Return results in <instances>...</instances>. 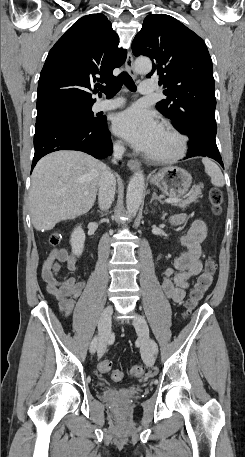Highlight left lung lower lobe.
Listing matches in <instances>:
<instances>
[{
    "label": "left lung lower lobe",
    "instance_id": "obj_1",
    "mask_svg": "<svg viewBox=\"0 0 245 457\" xmlns=\"http://www.w3.org/2000/svg\"><path fill=\"white\" fill-rule=\"evenodd\" d=\"M174 127L182 134L188 135L190 139V153L186 158L205 156L215 159L224 167L215 140L217 126L214 113H195L184 119L183 123Z\"/></svg>",
    "mask_w": 245,
    "mask_h": 457
}]
</instances>
